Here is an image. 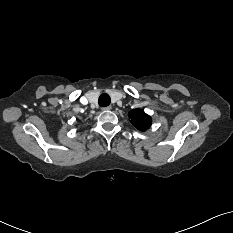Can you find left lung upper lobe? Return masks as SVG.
<instances>
[{
    "mask_svg": "<svg viewBox=\"0 0 233 233\" xmlns=\"http://www.w3.org/2000/svg\"><path fill=\"white\" fill-rule=\"evenodd\" d=\"M131 123L140 131H145L151 126V117L141 109H134L128 113Z\"/></svg>",
    "mask_w": 233,
    "mask_h": 233,
    "instance_id": "1",
    "label": "left lung upper lobe"
}]
</instances>
